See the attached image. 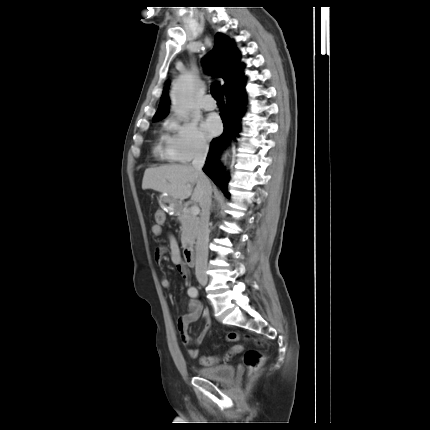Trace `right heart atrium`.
Masks as SVG:
<instances>
[{"label":"right heart atrium","instance_id":"right-heart-atrium-1","mask_svg":"<svg viewBox=\"0 0 430 430\" xmlns=\"http://www.w3.org/2000/svg\"><path fill=\"white\" fill-rule=\"evenodd\" d=\"M165 128L164 154L167 159L186 163L207 153V141L195 122L170 117Z\"/></svg>","mask_w":430,"mask_h":430}]
</instances>
